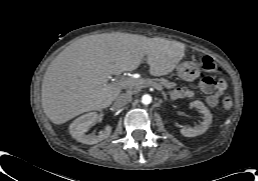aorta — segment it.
I'll use <instances>...</instances> for the list:
<instances>
[{
  "mask_svg": "<svg viewBox=\"0 0 258 181\" xmlns=\"http://www.w3.org/2000/svg\"><path fill=\"white\" fill-rule=\"evenodd\" d=\"M141 102L144 105H148V104H150L152 102V97L149 94H145V95L142 96Z\"/></svg>",
  "mask_w": 258,
  "mask_h": 181,
  "instance_id": "aorta-1",
  "label": "aorta"
}]
</instances>
